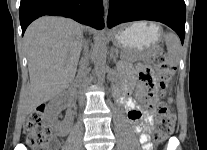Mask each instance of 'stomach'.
<instances>
[{
  "mask_svg": "<svg viewBox=\"0 0 207 150\" xmlns=\"http://www.w3.org/2000/svg\"><path fill=\"white\" fill-rule=\"evenodd\" d=\"M161 36L162 28L158 23L138 21L118 29L114 34V43L128 61L126 57L147 52Z\"/></svg>",
  "mask_w": 207,
  "mask_h": 150,
  "instance_id": "stomach-1",
  "label": "stomach"
}]
</instances>
